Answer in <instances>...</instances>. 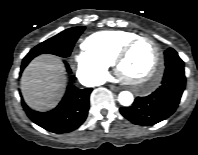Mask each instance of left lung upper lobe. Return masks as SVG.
I'll return each instance as SVG.
<instances>
[{
  "label": "left lung upper lobe",
  "mask_w": 198,
  "mask_h": 155,
  "mask_svg": "<svg viewBox=\"0 0 198 155\" xmlns=\"http://www.w3.org/2000/svg\"><path fill=\"white\" fill-rule=\"evenodd\" d=\"M165 65L168 67L170 64H183V61L178 56V53L172 49L169 48L165 51Z\"/></svg>",
  "instance_id": "left-lung-upper-lobe-1"
}]
</instances>
